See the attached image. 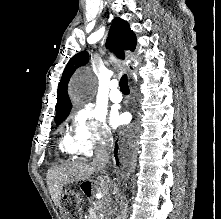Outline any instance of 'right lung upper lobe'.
<instances>
[{
    "instance_id": "cb5924a9",
    "label": "right lung upper lobe",
    "mask_w": 221,
    "mask_h": 219,
    "mask_svg": "<svg viewBox=\"0 0 221 219\" xmlns=\"http://www.w3.org/2000/svg\"><path fill=\"white\" fill-rule=\"evenodd\" d=\"M136 36L130 29L128 22L121 18H115L111 25L107 47L113 48L119 58L124 59V50H135ZM89 55L82 51L74 55L68 62L58 86V97L56 104V117L71 110L72 104L68 96V82L74 71L88 62Z\"/></svg>"
}]
</instances>
